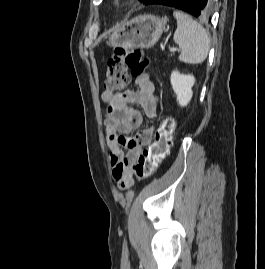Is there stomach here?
Masks as SVG:
<instances>
[{
  "instance_id": "0dacf381",
  "label": "stomach",
  "mask_w": 265,
  "mask_h": 269,
  "mask_svg": "<svg viewBox=\"0 0 265 269\" xmlns=\"http://www.w3.org/2000/svg\"><path fill=\"white\" fill-rule=\"evenodd\" d=\"M166 24L165 18L155 15L137 16L116 29L110 35L108 45L113 48L149 49L159 40Z\"/></svg>"
}]
</instances>
